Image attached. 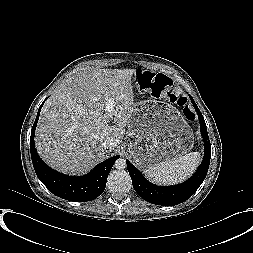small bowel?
Listing matches in <instances>:
<instances>
[{
  "mask_svg": "<svg viewBox=\"0 0 253 253\" xmlns=\"http://www.w3.org/2000/svg\"><path fill=\"white\" fill-rule=\"evenodd\" d=\"M139 86L143 89L147 88L149 86V83L146 80L139 79Z\"/></svg>",
  "mask_w": 253,
  "mask_h": 253,
  "instance_id": "c3829d8e",
  "label": "small bowel"
}]
</instances>
